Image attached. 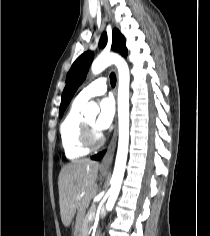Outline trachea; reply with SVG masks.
<instances>
[{"label": "trachea", "instance_id": "3493384b", "mask_svg": "<svg viewBox=\"0 0 210 236\" xmlns=\"http://www.w3.org/2000/svg\"><path fill=\"white\" fill-rule=\"evenodd\" d=\"M110 83L113 87L116 85V76L114 73L110 74Z\"/></svg>", "mask_w": 210, "mask_h": 236}]
</instances>
